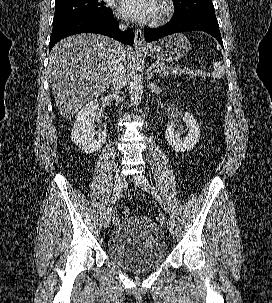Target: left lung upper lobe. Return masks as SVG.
<instances>
[{
	"mask_svg": "<svg viewBox=\"0 0 272 303\" xmlns=\"http://www.w3.org/2000/svg\"><path fill=\"white\" fill-rule=\"evenodd\" d=\"M175 13L173 19L188 16L215 15L211 0H173Z\"/></svg>",
	"mask_w": 272,
	"mask_h": 303,
	"instance_id": "1",
	"label": "left lung upper lobe"
}]
</instances>
